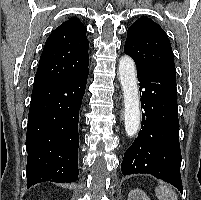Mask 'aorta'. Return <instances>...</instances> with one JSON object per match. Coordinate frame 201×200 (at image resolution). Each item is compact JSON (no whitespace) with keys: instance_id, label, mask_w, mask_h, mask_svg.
<instances>
[{"instance_id":"obj_1","label":"aorta","mask_w":201,"mask_h":200,"mask_svg":"<svg viewBox=\"0 0 201 200\" xmlns=\"http://www.w3.org/2000/svg\"><path fill=\"white\" fill-rule=\"evenodd\" d=\"M119 79L123 90L125 131L134 136L140 125V101L137 86L136 67L133 59L124 56L119 60Z\"/></svg>"}]
</instances>
